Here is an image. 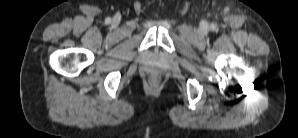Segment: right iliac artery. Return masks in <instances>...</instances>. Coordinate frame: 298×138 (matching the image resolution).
Masks as SVG:
<instances>
[{
	"mask_svg": "<svg viewBox=\"0 0 298 138\" xmlns=\"http://www.w3.org/2000/svg\"><path fill=\"white\" fill-rule=\"evenodd\" d=\"M110 22H111V19L110 18H106L105 23L106 24H109Z\"/></svg>",
	"mask_w": 298,
	"mask_h": 138,
	"instance_id": "1",
	"label": "right iliac artery"
}]
</instances>
